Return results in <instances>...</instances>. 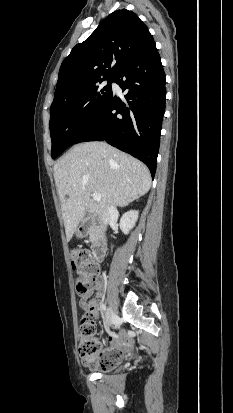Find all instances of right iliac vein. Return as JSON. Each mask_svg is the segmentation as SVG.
Segmentation results:
<instances>
[{"label":"right iliac vein","instance_id":"63e3f726","mask_svg":"<svg viewBox=\"0 0 233 413\" xmlns=\"http://www.w3.org/2000/svg\"><path fill=\"white\" fill-rule=\"evenodd\" d=\"M115 318L116 316L114 312L110 308H108L106 312V317H105V322H106L107 327H110L112 325Z\"/></svg>","mask_w":233,"mask_h":413}]
</instances>
